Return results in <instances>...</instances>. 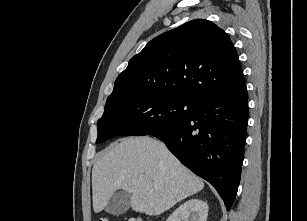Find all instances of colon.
Returning a JSON list of instances; mask_svg holds the SVG:
<instances>
[{"mask_svg": "<svg viewBox=\"0 0 307 221\" xmlns=\"http://www.w3.org/2000/svg\"><path fill=\"white\" fill-rule=\"evenodd\" d=\"M98 221H109V220L107 218L100 217ZM128 221H150V220H144L141 217H134V218H130Z\"/></svg>", "mask_w": 307, "mask_h": 221, "instance_id": "obj_1", "label": "colon"}]
</instances>
